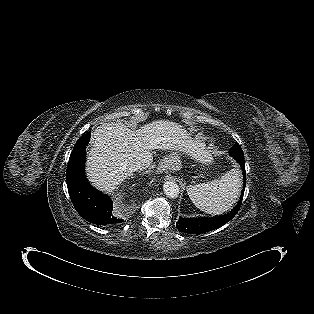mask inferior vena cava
I'll use <instances>...</instances> for the list:
<instances>
[{
  "mask_svg": "<svg viewBox=\"0 0 314 314\" xmlns=\"http://www.w3.org/2000/svg\"><path fill=\"white\" fill-rule=\"evenodd\" d=\"M143 169V165L141 162L137 161V162H133L131 164H129L128 166V172L132 173L138 170H142Z\"/></svg>",
  "mask_w": 314,
  "mask_h": 314,
  "instance_id": "602c4592",
  "label": "inferior vena cava"
}]
</instances>
